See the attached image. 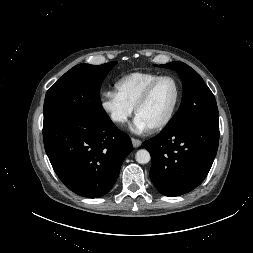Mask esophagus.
Wrapping results in <instances>:
<instances>
[{
    "label": "esophagus",
    "mask_w": 253,
    "mask_h": 253,
    "mask_svg": "<svg viewBox=\"0 0 253 253\" xmlns=\"http://www.w3.org/2000/svg\"><path fill=\"white\" fill-rule=\"evenodd\" d=\"M131 141L134 147H139L142 144L141 140L139 139L132 138Z\"/></svg>",
    "instance_id": "34e87169"
}]
</instances>
